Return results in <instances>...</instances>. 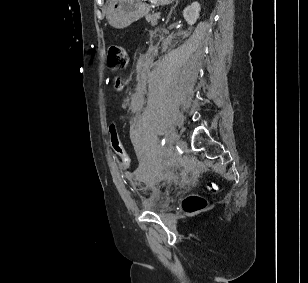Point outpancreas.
Wrapping results in <instances>:
<instances>
[{"label":"pancreas","instance_id":"1","mask_svg":"<svg viewBox=\"0 0 308 283\" xmlns=\"http://www.w3.org/2000/svg\"><path fill=\"white\" fill-rule=\"evenodd\" d=\"M158 16L156 14L146 15V21H148L152 26L157 25Z\"/></svg>","mask_w":308,"mask_h":283}]
</instances>
